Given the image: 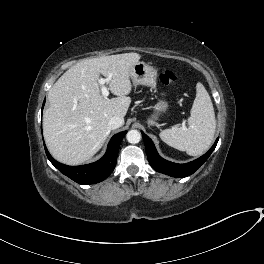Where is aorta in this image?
Masks as SVG:
<instances>
[{"label":"aorta","instance_id":"762f6f07","mask_svg":"<svg viewBox=\"0 0 264 264\" xmlns=\"http://www.w3.org/2000/svg\"><path fill=\"white\" fill-rule=\"evenodd\" d=\"M126 139L131 144L139 143L141 140V133L138 130H130L126 135Z\"/></svg>","mask_w":264,"mask_h":264}]
</instances>
